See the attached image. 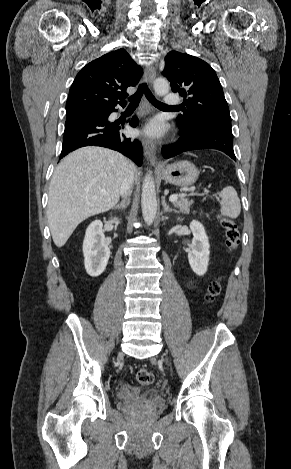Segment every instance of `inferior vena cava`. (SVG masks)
<instances>
[{"mask_svg":"<svg viewBox=\"0 0 291 469\" xmlns=\"http://www.w3.org/2000/svg\"><path fill=\"white\" fill-rule=\"evenodd\" d=\"M134 183V165L130 164L127 174L125 175L121 188L120 194L125 199L129 198L132 193V186Z\"/></svg>","mask_w":291,"mask_h":469,"instance_id":"1","label":"inferior vena cava"}]
</instances>
